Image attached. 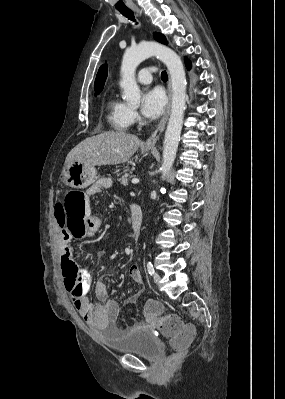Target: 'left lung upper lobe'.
I'll return each mask as SVG.
<instances>
[{"label":"left lung upper lobe","mask_w":285,"mask_h":399,"mask_svg":"<svg viewBox=\"0 0 285 399\" xmlns=\"http://www.w3.org/2000/svg\"><path fill=\"white\" fill-rule=\"evenodd\" d=\"M154 38L157 40V41H159V42H161V43H163V44H166L167 43V40H166V38H165V36L163 35V34H161V33H154Z\"/></svg>","instance_id":"left-lung-upper-lobe-1"}]
</instances>
